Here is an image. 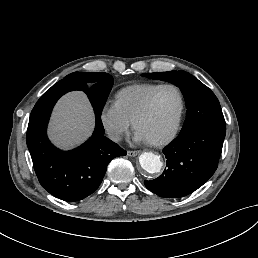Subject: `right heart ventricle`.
I'll return each mask as SVG.
<instances>
[{"instance_id":"obj_1","label":"right heart ventricle","mask_w":258,"mask_h":258,"mask_svg":"<svg viewBox=\"0 0 258 258\" xmlns=\"http://www.w3.org/2000/svg\"><path fill=\"white\" fill-rule=\"evenodd\" d=\"M158 86L144 83L125 87L117 93L114 104L130 123H134L148 96Z\"/></svg>"}]
</instances>
